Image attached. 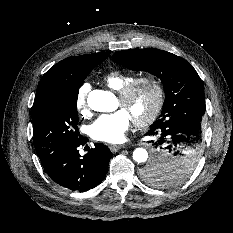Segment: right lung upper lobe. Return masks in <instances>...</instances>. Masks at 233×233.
<instances>
[{
    "mask_svg": "<svg viewBox=\"0 0 233 233\" xmlns=\"http://www.w3.org/2000/svg\"><path fill=\"white\" fill-rule=\"evenodd\" d=\"M110 53H93L68 57L50 68L40 80L35 100L55 89H67L73 79L79 78L92 67L105 60ZM34 100V101H35Z\"/></svg>",
    "mask_w": 233,
    "mask_h": 233,
    "instance_id": "right-lung-upper-lobe-1",
    "label": "right lung upper lobe"
}]
</instances>
